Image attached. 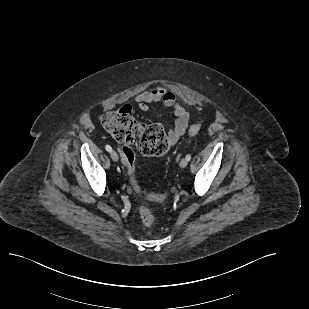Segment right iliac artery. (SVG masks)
<instances>
[{
  "instance_id": "1",
  "label": "right iliac artery",
  "mask_w": 309,
  "mask_h": 309,
  "mask_svg": "<svg viewBox=\"0 0 309 309\" xmlns=\"http://www.w3.org/2000/svg\"><path fill=\"white\" fill-rule=\"evenodd\" d=\"M105 149H106L108 152H111V151H112V148H111V146H109V145H106V146H105Z\"/></svg>"
}]
</instances>
